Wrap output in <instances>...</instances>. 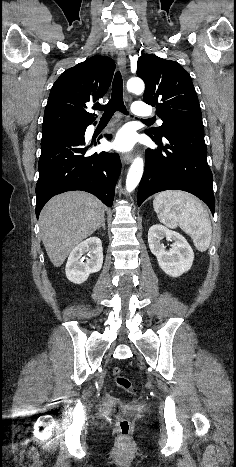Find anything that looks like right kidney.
I'll list each match as a JSON object with an SVG mask.
<instances>
[{
  "label": "right kidney",
  "instance_id": "1",
  "mask_svg": "<svg viewBox=\"0 0 236 467\" xmlns=\"http://www.w3.org/2000/svg\"><path fill=\"white\" fill-rule=\"evenodd\" d=\"M85 254L89 258L84 261L82 256ZM102 264V242L98 237H90L71 251L65 269L66 277L75 284H81L91 273L100 271Z\"/></svg>",
  "mask_w": 236,
  "mask_h": 467
}]
</instances>
